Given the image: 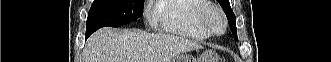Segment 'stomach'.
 <instances>
[{
	"mask_svg": "<svg viewBox=\"0 0 331 62\" xmlns=\"http://www.w3.org/2000/svg\"><path fill=\"white\" fill-rule=\"evenodd\" d=\"M202 60L205 62H217V56L212 50H207L202 55ZM170 62H195L193 58L188 55H177Z\"/></svg>",
	"mask_w": 331,
	"mask_h": 62,
	"instance_id": "stomach-1",
	"label": "stomach"
}]
</instances>
